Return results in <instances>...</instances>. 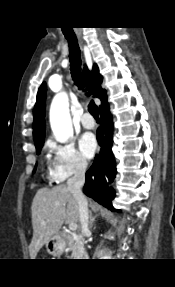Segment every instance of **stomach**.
Instances as JSON below:
<instances>
[{
	"label": "stomach",
	"mask_w": 175,
	"mask_h": 287,
	"mask_svg": "<svg viewBox=\"0 0 175 287\" xmlns=\"http://www.w3.org/2000/svg\"><path fill=\"white\" fill-rule=\"evenodd\" d=\"M46 250L51 255H60L65 248V240L64 238L56 234L52 236L47 242H46Z\"/></svg>",
	"instance_id": "stomach-1"
}]
</instances>
